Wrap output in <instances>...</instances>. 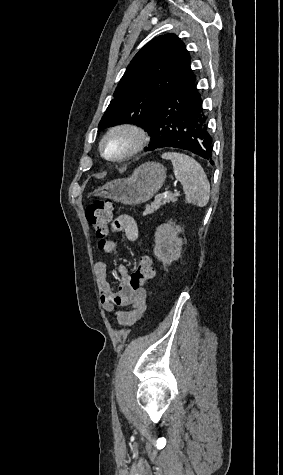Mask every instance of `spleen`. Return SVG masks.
I'll return each mask as SVG.
<instances>
[{
    "label": "spleen",
    "mask_w": 283,
    "mask_h": 475,
    "mask_svg": "<svg viewBox=\"0 0 283 475\" xmlns=\"http://www.w3.org/2000/svg\"><path fill=\"white\" fill-rule=\"evenodd\" d=\"M164 160H171L176 180H179L186 194L187 204H194L203 208L209 202L210 184L200 164L186 154L166 152L162 154Z\"/></svg>",
    "instance_id": "1"
}]
</instances>
